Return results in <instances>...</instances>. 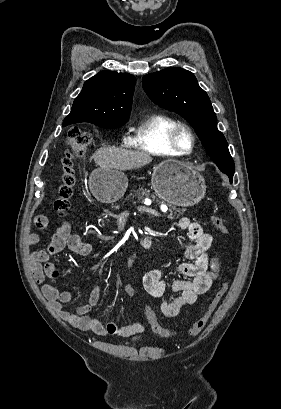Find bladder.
<instances>
[{"mask_svg":"<svg viewBox=\"0 0 281 409\" xmlns=\"http://www.w3.org/2000/svg\"><path fill=\"white\" fill-rule=\"evenodd\" d=\"M147 336L146 335H138L135 337H132L129 339L130 342L138 344V345H144L147 343Z\"/></svg>","mask_w":281,"mask_h":409,"instance_id":"31cf9c89","label":"bladder"}]
</instances>
